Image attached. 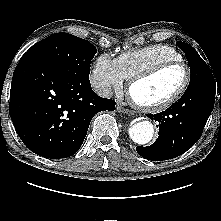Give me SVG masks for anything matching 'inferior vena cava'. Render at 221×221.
I'll list each match as a JSON object with an SVG mask.
<instances>
[{
  "instance_id": "inferior-vena-cava-1",
  "label": "inferior vena cava",
  "mask_w": 221,
  "mask_h": 221,
  "mask_svg": "<svg viewBox=\"0 0 221 221\" xmlns=\"http://www.w3.org/2000/svg\"><path fill=\"white\" fill-rule=\"evenodd\" d=\"M96 92L99 96L108 98L112 96V89L109 84H102L97 87Z\"/></svg>"
}]
</instances>
